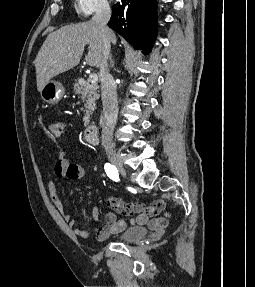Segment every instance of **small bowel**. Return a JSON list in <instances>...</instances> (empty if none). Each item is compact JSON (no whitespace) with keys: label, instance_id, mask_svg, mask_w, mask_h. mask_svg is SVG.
<instances>
[{"label":"small bowel","instance_id":"small-bowel-1","mask_svg":"<svg viewBox=\"0 0 255 287\" xmlns=\"http://www.w3.org/2000/svg\"><path fill=\"white\" fill-rule=\"evenodd\" d=\"M54 172L58 178H66L69 180L81 179L84 176V170L81 166L74 164L67 152H62L55 164ZM49 195L52 203L63 219L68 223L69 227L76 236L88 238L91 234H95L98 239L104 240L110 235L120 233L129 224L144 225L157 234H162L169 224L171 218L170 213H165L163 217L153 218L159 215L165 208L163 200H156L149 205L125 203L118 198H110L108 200V209L105 214V223L100 227H94L91 230L81 228L78 225V220L73 217L64 207L60 200L56 185L53 181L48 184ZM116 212L125 216H132L130 222L125 220H117ZM100 211L94 208L92 211L93 220L99 218Z\"/></svg>","mask_w":255,"mask_h":287}]
</instances>
